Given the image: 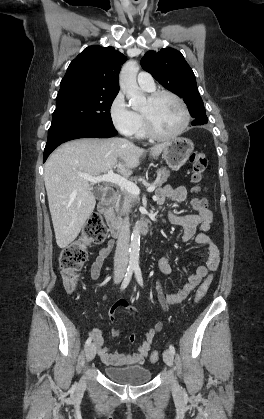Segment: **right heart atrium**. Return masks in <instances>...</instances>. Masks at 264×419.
Returning <instances> with one entry per match:
<instances>
[{
    "instance_id": "right-heart-atrium-1",
    "label": "right heart atrium",
    "mask_w": 264,
    "mask_h": 419,
    "mask_svg": "<svg viewBox=\"0 0 264 419\" xmlns=\"http://www.w3.org/2000/svg\"><path fill=\"white\" fill-rule=\"evenodd\" d=\"M110 117L114 127L125 136H134L139 127V119L127 104L124 94L118 92L110 104Z\"/></svg>"
}]
</instances>
